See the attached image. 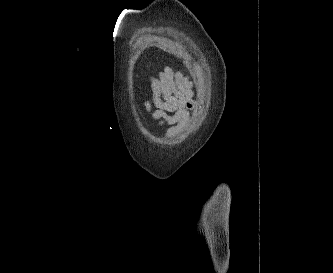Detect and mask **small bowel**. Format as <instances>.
<instances>
[{"instance_id":"small-bowel-1","label":"small bowel","mask_w":333,"mask_h":273,"mask_svg":"<svg viewBox=\"0 0 333 273\" xmlns=\"http://www.w3.org/2000/svg\"><path fill=\"white\" fill-rule=\"evenodd\" d=\"M151 96L146 95L144 107L151 118L160 125H168L185 116L184 110L191 107L190 88L181 72L164 67L157 75H150ZM154 107V108H153ZM175 111V116L169 113Z\"/></svg>"}]
</instances>
